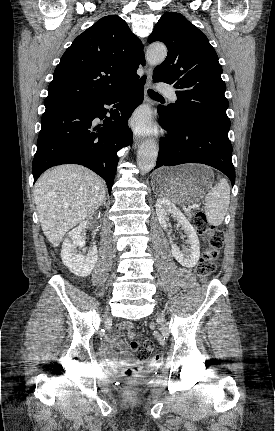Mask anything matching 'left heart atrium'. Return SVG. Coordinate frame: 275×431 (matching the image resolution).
Listing matches in <instances>:
<instances>
[{
  "label": "left heart atrium",
  "mask_w": 275,
  "mask_h": 431,
  "mask_svg": "<svg viewBox=\"0 0 275 431\" xmlns=\"http://www.w3.org/2000/svg\"><path fill=\"white\" fill-rule=\"evenodd\" d=\"M131 126L139 133L151 131V121L148 112L146 110L138 111L131 120Z\"/></svg>",
  "instance_id": "39dd6f15"
}]
</instances>
